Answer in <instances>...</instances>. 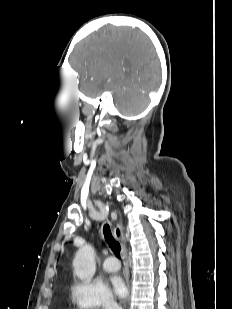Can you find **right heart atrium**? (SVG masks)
<instances>
[{
	"label": "right heart atrium",
	"mask_w": 232,
	"mask_h": 309,
	"mask_svg": "<svg viewBox=\"0 0 232 309\" xmlns=\"http://www.w3.org/2000/svg\"><path fill=\"white\" fill-rule=\"evenodd\" d=\"M71 297L80 309H118L109 290L93 282H74Z\"/></svg>",
	"instance_id": "1"
}]
</instances>
